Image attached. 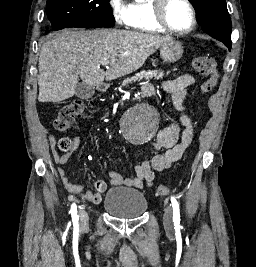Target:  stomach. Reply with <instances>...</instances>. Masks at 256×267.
<instances>
[{"label": "stomach", "instance_id": "0dacf381", "mask_svg": "<svg viewBox=\"0 0 256 267\" xmlns=\"http://www.w3.org/2000/svg\"><path fill=\"white\" fill-rule=\"evenodd\" d=\"M183 52V44L173 40V38H170L169 42H164L160 48V56L163 62H169V64H174V62L180 60Z\"/></svg>", "mask_w": 256, "mask_h": 267}]
</instances>
